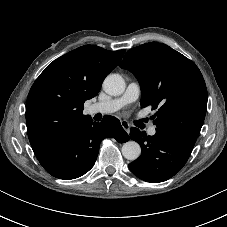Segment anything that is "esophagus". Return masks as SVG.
Instances as JSON below:
<instances>
[{
    "label": "esophagus",
    "instance_id": "esophagus-1",
    "mask_svg": "<svg viewBox=\"0 0 227 227\" xmlns=\"http://www.w3.org/2000/svg\"><path fill=\"white\" fill-rule=\"evenodd\" d=\"M121 126L127 133L130 132V124L126 120L121 121Z\"/></svg>",
    "mask_w": 227,
    "mask_h": 227
}]
</instances>
